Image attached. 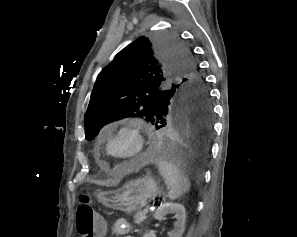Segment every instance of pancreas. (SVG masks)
<instances>
[{"label": "pancreas", "mask_w": 297, "mask_h": 237, "mask_svg": "<svg viewBox=\"0 0 297 237\" xmlns=\"http://www.w3.org/2000/svg\"><path fill=\"white\" fill-rule=\"evenodd\" d=\"M145 219H147V216L144 211H139L134 215V222L136 224H141Z\"/></svg>", "instance_id": "obj_1"}]
</instances>
